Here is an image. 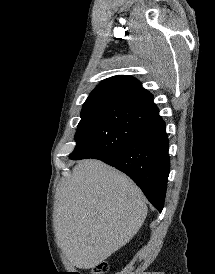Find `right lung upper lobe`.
Wrapping results in <instances>:
<instances>
[{"label":"right lung upper lobe","mask_w":215,"mask_h":274,"mask_svg":"<svg viewBox=\"0 0 215 274\" xmlns=\"http://www.w3.org/2000/svg\"><path fill=\"white\" fill-rule=\"evenodd\" d=\"M111 101L158 114L153 96L131 76L118 75L103 80L89 95L85 103ZM159 115V114H158Z\"/></svg>","instance_id":"right-lung-upper-lobe-1"}]
</instances>
